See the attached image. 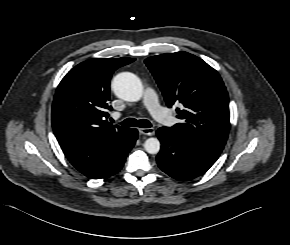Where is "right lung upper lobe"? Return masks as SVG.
Returning a JSON list of instances; mask_svg holds the SVG:
<instances>
[{
	"label": "right lung upper lobe",
	"mask_w": 290,
	"mask_h": 245,
	"mask_svg": "<svg viewBox=\"0 0 290 245\" xmlns=\"http://www.w3.org/2000/svg\"><path fill=\"white\" fill-rule=\"evenodd\" d=\"M95 58L71 69L60 82L52 106L55 136L71 164L89 178L114 167L130 148L133 129L108 123L113 72L134 61Z\"/></svg>",
	"instance_id": "cb5924a9"
}]
</instances>
